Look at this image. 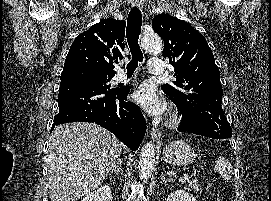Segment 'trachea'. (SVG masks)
<instances>
[{"label":"trachea","instance_id":"3493384b","mask_svg":"<svg viewBox=\"0 0 271 201\" xmlns=\"http://www.w3.org/2000/svg\"><path fill=\"white\" fill-rule=\"evenodd\" d=\"M142 15L137 7H133L127 18V42L132 54V59L127 65V73L133 74L138 66V62L143 61V54L140 49L138 40L141 33Z\"/></svg>","mask_w":271,"mask_h":201}]
</instances>
